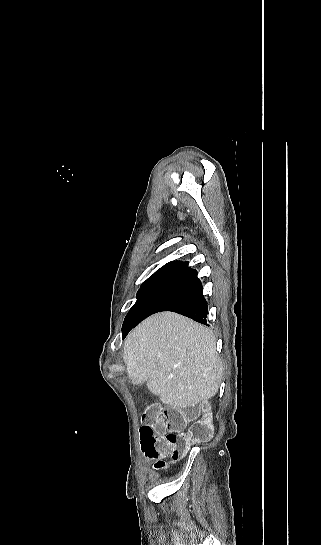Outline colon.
I'll return each mask as SVG.
<instances>
[{"label": "colon", "mask_w": 321, "mask_h": 545, "mask_svg": "<svg viewBox=\"0 0 321 545\" xmlns=\"http://www.w3.org/2000/svg\"><path fill=\"white\" fill-rule=\"evenodd\" d=\"M189 423L190 427L185 430ZM214 433L212 417L203 407L163 408L154 402L146 405L140 427L144 454L158 458L164 450L173 460L184 457L191 445L209 441ZM157 467L163 468L165 463Z\"/></svg>", "instance_id": "1"}]
</instances>
